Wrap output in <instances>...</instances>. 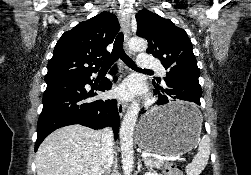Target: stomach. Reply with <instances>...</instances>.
Segmentation results:
<instances>
[{"instance_id":"1","label":"stomach","mask_w":251,"mask_h":175,"mask_svg":"<svg viewBox=\"0 0 251 175\" xmlns=\"http://www.w3.org/2000/svg\"><path fill=\"white\" fill-rule=\"evenodd\" d=\"M192 100H170L142 115L136 131L138 145L150 154L182 155L200 139L202 117Z\"/></svg>"}]
</instances>
